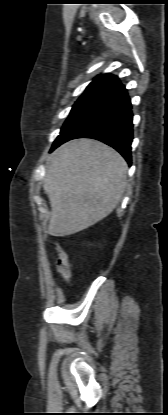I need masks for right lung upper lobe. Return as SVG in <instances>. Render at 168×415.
Instances as JSON below:
<instances>
[{
    "instance_id": "cb5924a9",
    "label": "right lung upper lobe",
    "mask_w": 168,
    "mask_h": 415,
    "mask_svg": "<svg viewBox=\"0 0 168 415\" xmlns=\"http://www.w3.org/2000/svg\"><path fill=\"white\" fill-rule=\"evenodd\" d=\"M119 79L110 74H102L97 76L85 89L84 93H92L100 95L105 90L118 83Z\"/></svg>"
}]
</instances>
